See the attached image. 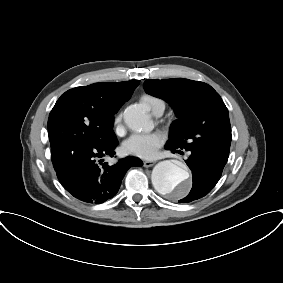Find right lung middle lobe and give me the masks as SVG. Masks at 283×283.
<instances>
[{
    "instance_id": "1",
    "label": "right lung middle lobe",
    "mask_w": 283,
    "mask_h": 283,
    "mask_svg": "<svg viewBox=\"0 0 283 283\" xmlns=\"http://www.w3.org/2000/svg\"><path fill=\"white\" fill-rule=\"evenodd\" d=\"M113 119L114 115L104 116L87 104L74 88L68 90L48 118L51 152L71 151L83 144L108 146L117 140Z\"/></svg>"
}]
</instances>
